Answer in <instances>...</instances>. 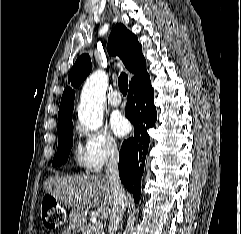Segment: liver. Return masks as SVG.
Returning <instances> with one entry per match:
<instances>
[{
	"label": "liver",
	"mask_w": 241,
	"mask_h": 234,
	"mask_svg": "<svg viewBox=\"0 0 241 234\" xmlns=\"http://www.w3.org/2000/svg\"><path fill=\"white\" fill-rule=\"evenodd\" d=\"M44 189L83 219L99 204L94 215L102 219L109 217L113 208V191L104 175L51 176L44 181Z\"/></svg>",
	"instance_id": "obj_1"
}]
</instances>
